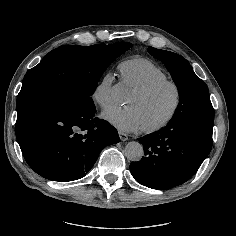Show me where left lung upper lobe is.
Returning a JSON list of instances; mask_svg holds the SVG:
<instances>
[{
    "label": "left lung upper lobe",
    "mask_w": 236,
    "mask_h": 236,
    "mask_svg": "<svg viewBox=\"0 0 236 236\" xmlns=\"http://www.w3.org/2000/svg\"><path fill=\"white\" fill-rule=\"evenodd\" d=\"M148 52L165 64L178 87L179 105L169 123L190 118L214 120L208 87L194 73L189 62L176 53L153 47H148Z\"/></svg>",
    "instance_id": "1"
}]
</instances>
